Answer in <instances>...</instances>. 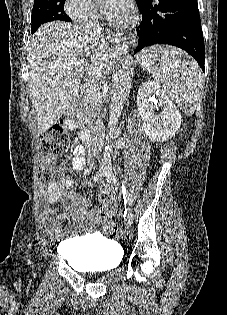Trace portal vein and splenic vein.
Wrapping results in <instances>:
<instances>
[{
	"mask_svg": "<svg viewBox=\"0 0 227 315\" xmlns=\"http://www.w3.org/2000/svg\"><path fill=\"white\" fill-rule=\"evenodd\" d=\"M83 64H84L83 61L82 62H79V61L74 62V65L77 67H80V69H83ZM98 90H99V88L96 86H91V87L87 88V92L90 95H94Z\"/></svg>",
	"mask_w": 227,
	"mask_h": 315,
	"instance_id": "portal-vein-and-splenic-vein-1",
	"label": "portal vein and splenic vein"
}]
</instances>
